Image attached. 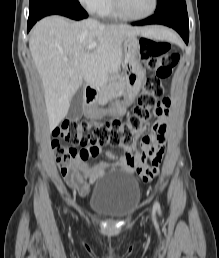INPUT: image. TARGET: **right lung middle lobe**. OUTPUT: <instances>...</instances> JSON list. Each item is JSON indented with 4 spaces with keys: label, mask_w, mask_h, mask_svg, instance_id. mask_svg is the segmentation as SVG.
Here are the masks:
<instances>
[{
    "label": "right lung middle lobe",
    "mask_w": 219,
    "mask_h": 258,
    "mask_svg": "<svg viewBox=\"0 0 219 258\" xmlns=\"http://www.w3.org/2000/svg\"><path fill=\"white\" fill-rule=\"evenodd\" d=\"M58 1H62V0H30L29 15L34 14L44 6H47L49 4H52ZM65 1H77V0H65Z\"/></svg>",
    "instance_id": "1"
}]
</instances>
